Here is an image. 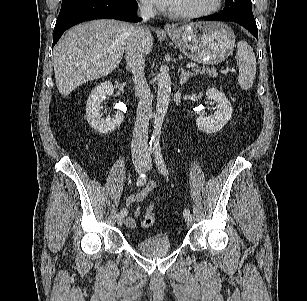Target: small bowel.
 <instances>
[{"instance_id":"small-bowel-1","label":"small bowel","mask_w":307,"mask_h":301,"mask_svg":"<svg viewBox=\"0 0 307 301\" xmlns=\"http://www.w3.org/2000/svg\"><path fill=\"white\" fill-rule=\"evenodd\" d=\"M155 188L156 184L154 182L147 183L141 190L126 196L124 199L125 205L130 206L132 204L142 202ZM140 213V208H135L133 215L126 219V226L134 227L136 225V218L140 216Z\"/></svg>"}]
</instances>
